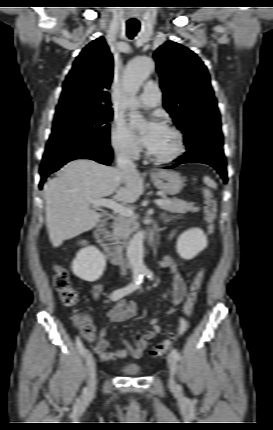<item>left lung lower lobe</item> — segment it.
<instances>
[{"mask_svg": "<svg viewBox=\"0 0 273 430\" xmlns=\"http://www.w3.org/2000/svg\"><path fill=\"white\" fill-rule=\"evenodd\" d=\"M187 151L184 155L174 160L176 164L167 168H173L181 163L199 162L214 167L226 183L227 171L223 153L222 133L219 129L203 126L193 133L192 137L184 140Z\"/></svg>", "mask_w": 273, "mask_h": 430, "instance_id": "obj_1", "label": "left lung lower lobe"}]
</instances>
